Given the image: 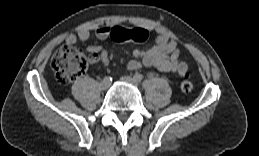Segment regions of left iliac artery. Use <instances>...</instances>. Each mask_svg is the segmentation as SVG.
I'll return each mask as SVG.
<instances>
[{"label":"left iliac artery","mask_w":259,"mask_h":156,"mask_svg":"<svg viewBox=\"0 0 259 156\" xmlns=\"http://www.w3.org/2000/svg\"><path fill=\"white\" fill-rule=\"evenodd\" d=\"M134 79H135L136 81L140 82V81L143 80V75L140 74V73H136V74L134 75Z\"/></svg>","instance_id":"obj_1"}]
</instances>
